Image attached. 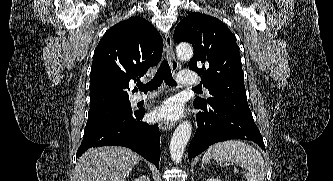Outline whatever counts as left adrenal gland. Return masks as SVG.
I'll use <instances>...</instances> for the list:
<instances>
[{
	"mask_svg": "<svg viewBox=\"0 0 333 181\" xmlns=\"http://www.w3.org/2000/svg\"><path fill=\"white\" fill-rule=\"evenodd\" d=\"M202 168L204 169V166H203V165H202V167H201L200 169H202Z\"/></svg>",
	"mask_w": 333,
	"mask_h": 181,
	"instance_id": "a2214340",
	"label": "left adrenal gland"
}]
</instances>
